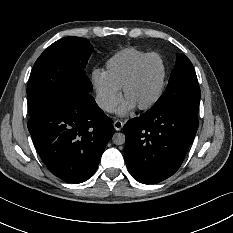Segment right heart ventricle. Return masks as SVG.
I'll list each match as a JSON object with an SVG mask.
<instances>
[{
  "label": "right heart ventricle",
  "mask_w": 233,
  "mask_h": 233,
  "mask_svg": "<svg viewBox=\"0 0 233 233\" xmlns=\"http://www.w3.org/2000/svg\"><path fill=\"white\" fill-rule=\"evenodd\" d=\"M146 51L125 48L111 55L105 63L104 73L119 89L133 69L148 55Z\"/></svg>",
  "instance_id": "obj_1"
}]
</instances>
